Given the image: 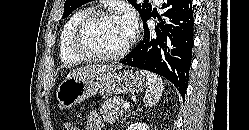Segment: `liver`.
Segmentation results:
<instances>
[{
    "mask_svg": "<svg viewBox=\"0 0 249 130\" xmlns=\"http://www.w3.org/2000/svg\"><path fill=\"white\" fill-rule=\"evenodd\" d=\"M122 68L119 65H88L80 68H76L68 73L67 78H79L83 76L110 74L118 71Z\"/></svg>",
    "mask_w": 249,
    "mask_h": 130,
    "instance_id": "obj_1",
    "label": "liver"
}]
</instances>
